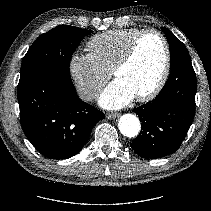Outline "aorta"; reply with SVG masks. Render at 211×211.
Returning <instances> with one entry per match:
<instances>
[{"label": "aorta", "instance_id": "762f6f07", "mask_svg": "<svg viewBox=\"0 0 211 211\" xmlns=\"http://www.w3.org/2000/svg\"><path fill=\"white\" fill-rule=\"evenodd\" d=\"M118 127L126 137H135L140 132V121L133 114H124L120 117Z\"/></svg>", "mask_w": 211, "mask_h": 211}]
</instances>
